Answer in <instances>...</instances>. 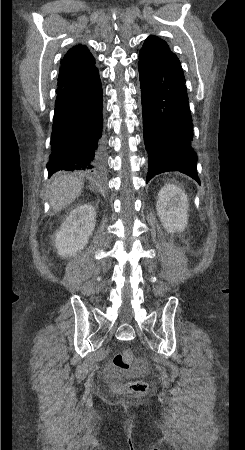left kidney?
I'll return each mask as SVG.
<instances>
[{
  "label": "left kidney",
  "instance_id": "1",
  "mask_svg": "<svg viewBox=\"0 0 245 450\" xmlns=\"http://www.w3.org/2000/svg\"><path fill=\"white\" fill-rule=\"evenodd\" d=\"M188 199L185 193L173 184H166L158 194L157 214L168 233L181 232L188 223Z\"/></svg>",
  "mask_w": 245,
  "mask_h": 450
}]
</instances>
